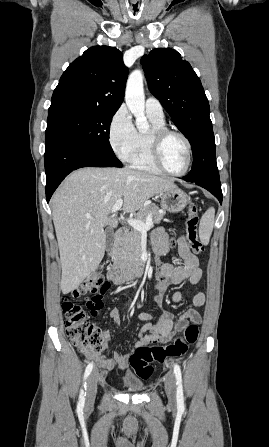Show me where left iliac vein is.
<instances>
[{"label":"left iliac vein","instance_id":"obj_1","mask_svg":"<svg viewBox=\"0 0 269 447\" xmlns=\"http://www.w3.org/2000/svg\"><path fill=\"white\" fill-rule=\"evenodd\" d=\"M165 391L169 402L174 404L176 402V380L173 372H168L165 375Z\"/></svg>","mask_w":269,"mask_h":447}]
</instances>
